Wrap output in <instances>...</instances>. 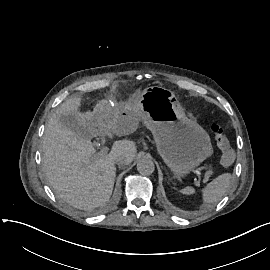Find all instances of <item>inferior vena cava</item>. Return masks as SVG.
Here are the masks:
<instances>
[{
  "mask_svg": "<svg viewBox=\"0 0 270 270\" xmlns=\"http://www.w3.org/2000/svg\"><path fill=\"white\" fill-rule=\"evenodd\" d=\"M115 163L121 164V165H127L128 164L126 158L125 157H120V156L116 157Z\"/></svg>",
  "mask_w": 270,
  "mask_h": 270,
  "instance_id": "inferior-vena-cava-1",
  "label": "inferior vena cava"
}]
</instances>
